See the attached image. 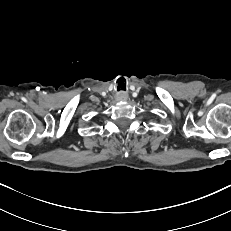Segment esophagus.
Returning <instances> with one entry per match:
<instances>
[{
  "instance_id": "esophagus-1",
  "label": "esophagus",
  "mask_w": 231,
  "mask_h": 231,
  "mask_svg": "<svg viewBox=\"0 0 231 231\" xmlns=\"http://www.w3.org/2000/svg\"><path fill=\"white\" fill-rule=\"evenodd\" d=\"M127 99H128V95L127 94L121 93L118 96V100H120V101H126Z\"/></svg>"
}]
</instances>
